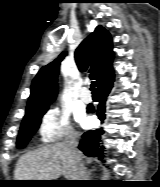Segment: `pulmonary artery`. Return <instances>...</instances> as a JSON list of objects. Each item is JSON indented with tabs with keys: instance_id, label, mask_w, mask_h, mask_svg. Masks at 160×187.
<instances>
[{
	"instance_id": "obj_1",
	"label": "pulmonary artery",
	"mask_w": 160,
	"mask_h": 187,
	"mask_svg": "<svg viewBox=\"0 0 160 187\" xmlns=\"http://www.w3.org/2000/svg\"><path fill=\"white\" fill-rule=\"evenodd\" d=\"M80 99H81V101L84 102V103H89V102H91V96H90L88 93L84 92V91H82V92L80 93Z\"/></svg>"
}]
</instances>
